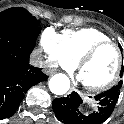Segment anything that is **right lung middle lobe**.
Listing matches in <instances>:
<instances>
[{
  "mask_svg": "<svg viewBox=\"0 0 124 124\" xmlns=\"http://www.w3.org/2000/svg\"><path fill=\"white\" fill-rule=\"evenodd\" d=\"M39 24L36 17L21 7L0 12V30H23L38 27Z\"/></svg>",
  "mask_w": 124,
  "mask_h": 124,
  "instance_id": "obj_1",
  "label": "right lung middle lobe"
}]
</instances>
